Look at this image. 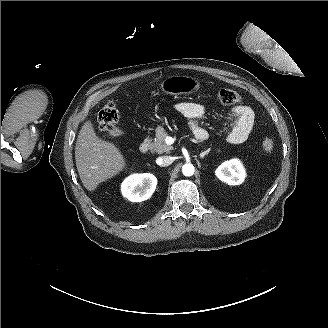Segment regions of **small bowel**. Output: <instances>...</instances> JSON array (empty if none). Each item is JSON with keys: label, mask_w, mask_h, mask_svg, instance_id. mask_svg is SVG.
Here are the masks:
<instances>
[{"label": "small bowel", "mask_w": 328, "mask_h": 328, "mask_svg": "<svg viewBox=\"0 0 328 328\" xmlns=\"http://www.w3.org/2000/svg\"><path fill=\"white\" fill-rule=\"evenodd\" d=\"M175 109L190 120L191 129L197 139L202 140L206 138L207 133L205 129L194 121L205 115L206 109L203 105L193 102H181L175 105ZM254 121L255 114L251 107L244 104L234 106L229 114L231 130L228 135V141L232 144L245 142L252 131Z\"/></svg>", "instance_id": "c3829d8e"}]
</instances>
